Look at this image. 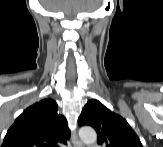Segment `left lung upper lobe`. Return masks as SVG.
I'll use <instances>...</instances> for the list:
<instances>
[{"label": "left lung upper lobe", "instance_id": "5c2ea615", "mask_svg": "<svg viewBox=\"0 0 163 147\" xmlns=\"http://www.w3.org/2000/svg\"><path fill=\"white\" fill-rule=\"evenodd\" d=\"M78 123L80 126H92L98 133V144L103 147H142L127 121L98 100L87 102Z\"/></svg>", "mask_w": 163, "mask_h": 147}]
</instances>
